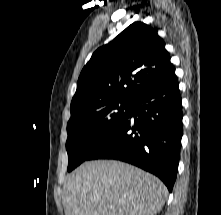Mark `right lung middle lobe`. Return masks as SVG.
Segmentation results:
<instances>
[{
    "label": "right lung middle lobe",
    "instance_id": "right-lung-middle-lobe-1",
    "mask_svg": "<svg viewBox=\"0 0 221 215\" xmlns=\"http://www.w3.org/2000/svg\"><path fill=\"white\" fill-rule=\"evenodd\" d=\"M133 100L110 99L70 107L67 124L66 149L69 156L68 171L87 160L130 112Z\"/></svg>",
    "mask_w": 221,
    "mask_h": 215
}]
</instances>
